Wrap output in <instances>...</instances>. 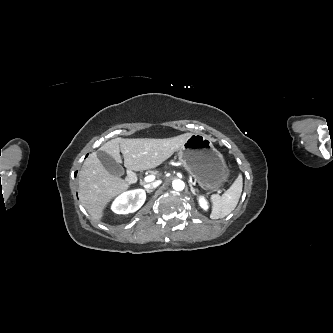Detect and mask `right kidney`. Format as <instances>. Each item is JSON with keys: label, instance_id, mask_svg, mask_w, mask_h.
Listing matches in <instances>:
<instances>
[{"label": "right kidney", "instance_id": "1", "mask_svg": "<svg viewBox=\"0 0 333 333\" xmlns=\"http://www.w3.org/2000/svg\"><path fill=\"white\" fill-rule=\"evenodd\" d=\"M143 189H135L122 193L113 202L112 210L117 214H128L137 211L145 202Z\"/></svg>", "mask_w": 333, "mask_h": 333}]
</instances>
